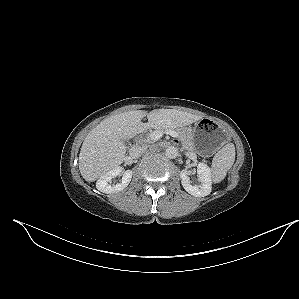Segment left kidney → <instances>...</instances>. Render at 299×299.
Returning <instances> with one entry per match:
<instances>
[{
    "mask_svg": "<svg viewBox=\"0 0 299 299\" xmlns=\"http://www.w3.org/2000/svg\"><path fill=\"white\" fill-rule=\"evenodd\" d=\"M198 181L200 184L192 185L188 171L182 170L180 173L183 188L195 197H204L210 194L212 188L211 170L205 163H199L197 166Z\"/></svg>",
    "mask_w": 299,
    "mask_h": 299,
    "instance_id": "obj_1",
    "label": "left kidney"
}]
</instances>
